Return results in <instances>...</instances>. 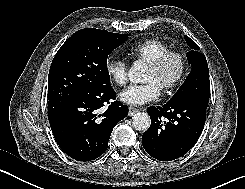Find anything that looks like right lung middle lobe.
<instances>
[{"instance_id": "1", "label": "right lung middle lobe", "mask_w": 245, "mask_h": 189, "mask_svg": "<svg viewBox=\"0 0 245 189\" xmlns=\"http://www.w3.org/2000/svg\"><path fill=\"white\" fill-rule=\"evenodd\" d=\"M129 34L85 28L75 32L56 53L48 76V99L89 92L110 84L107 58Z\"/></svg>"}]
</instances>
